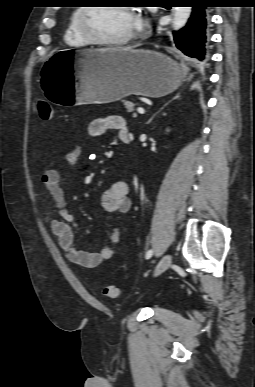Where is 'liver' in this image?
<instances>
[{"label":"liver","mask_w":255,"mask_h":387,"mask_svg":"<svg viewBox=\"0 0 255 387\" xmlns=\"http://www.w3.org/2000/svg\"><path fill=\"white\" fill-rule=\"evenodd\" d=\"M130 49H131V47L121 48V49L107 48V49H99V50L100 51H127Z\"/></svg>","instance_id":"liver-1"}]
</instances>
